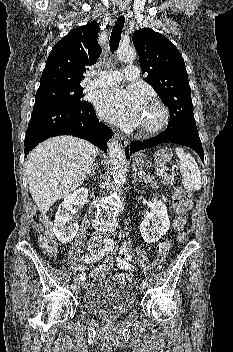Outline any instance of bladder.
<instances>
[{"instance_id":"31cf9c89","label":"bladder","mask_w":233,"mask_h":352,"mask_svg":"<svg viewBox=\"0 0 233 352\" xmlns=\"http://www.w3.org/2000/svg\"><path fill=\"white\" fill-rule=\"evenodd\" d=\"M136 305L135 292L128 286L113 281L97 282L83 295L84 308L94 314L119 316Z\"/></svg>"}]
</instances>
